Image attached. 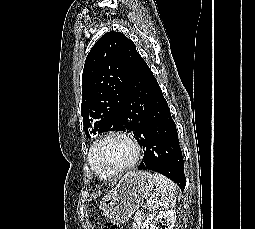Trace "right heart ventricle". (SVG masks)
Instances as JSON below:
<instances>
[{"label":"right heart ventricle","instance_id":"1","mask_svg":"<svg viewBox=\"0 0 255 229\" xmlns=\"http://www.w3.org/2000/svg\"><path fill=\"white\" fill-rule=\"evenodd\" d=\"M88 162L91 169L98 177L102 179H110L113 177V176H109L94 160H92V155L90 153V150L88 153Z\"/></svg>","mask_w":255,"mask_h":229}]
</instances>
